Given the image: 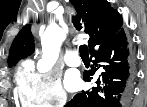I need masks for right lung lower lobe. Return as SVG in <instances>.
Masks as SVG:
<instances>
[{"label": "right lung lower lobe", "mask_w": 147, "mask_h": 107, "mask_svg": "<svg viewBox=\"0 0 147 107\" xmlns=\"http://www.w3.org/2000/svg\"><path fill=\"white\" fill-rule=\"evenodd\" d=\"M93 66L84 72L89 82L96 71L101 74L97 87L76 94L65 107H127L135 77L133 56L123 28L90 51Z\"/></svg>", "instance_id": "obj_1"}]
</instances>
